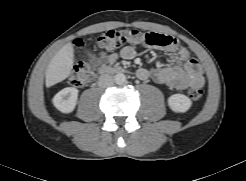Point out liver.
Returning <instances> with one entry per match:
<instances>
[{
	"instance_id": "obj_1",
	"label": "liver",
	"mask_w": 246,
	"mask_h": 181,
	"mask_svg": "<svg viewBox=\"0 0 246 181\" xmlns=\"http://www.w3.org/2000/svg\"><path fill=\"white\" fill-rule=\"evenodd\" d=\"M74 62L72 43L65 44L52 58L46 70V87L62 82L71 74Z\"/></svg>"
}]
</instances>
